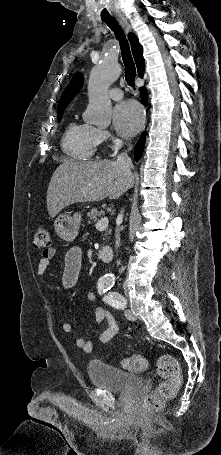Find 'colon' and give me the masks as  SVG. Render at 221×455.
I'll return each mask as SVG.
<instances>
[{"label":"colon","mask_w":221,"mask_h":455,"mask_svg":"<svg viewBox=\"0 0 221 455\" xmlns=\"http://www.w3.org/2000/svg\"><path fill=\"white\" fill-rule=\"evenodd\" d=\"M51 243L50 230L45 226L37 227L33 237L34 247L46 250L51 247ZM123 367L130 372L139 373L147 369L148 363L142 355L133 354L123 360ZM156 369L163 380L143 402V408L148 411L160 410L166 402L174 397L176 390L182 383L179 363L174 356L161 355L157 359Z\"/></svg>","instance_id":"colon-1"}]
</instances>
